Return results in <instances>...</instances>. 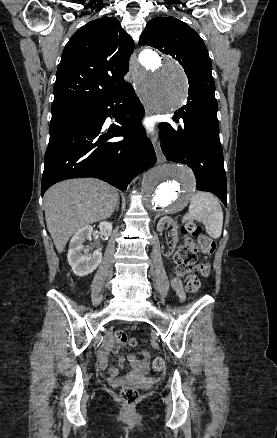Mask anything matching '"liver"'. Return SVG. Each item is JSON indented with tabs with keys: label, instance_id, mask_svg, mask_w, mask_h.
Listing matches in <instances>:
<instances>
[{
	"label": "liver",
	"instance_id": "obj_1",
	"mask_svg": "<svg viewBox=\"0 0 277 438\" xmlns=\"http://www.w3.org/2000/svg\"><path fill=\"white\" fill-rule=\"evenodd\" d=\"M119 194L109 184L94 178L65 180L44 196L47 230L59 254L71 236L84 226L112 216Z\"/></svg>",
	"mask_w": 277,
	"mask_h": 438
}]
</instances>
